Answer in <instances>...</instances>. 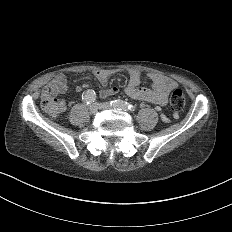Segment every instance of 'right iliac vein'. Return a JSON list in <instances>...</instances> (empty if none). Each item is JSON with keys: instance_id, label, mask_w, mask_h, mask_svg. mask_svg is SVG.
Here are the masks:
<instances>
[{"instance_id": "63e3f726", "label": "right iliac vein", "mask_w": 232, "mask_h": 232, "mask_svg": "<svg viewBox=\"0 0 232 232\" xmlns=\"http://www.w3.org/2000/svg\"><path fill=\"white\" fill-rule=\"evenodd\" d=\"M97 108H98L97 104L93 103L90 105L89 110L92 114H96V113H98Z\"/></svg>"}]
</instances>
